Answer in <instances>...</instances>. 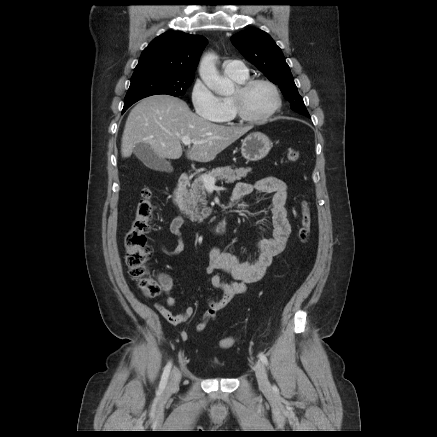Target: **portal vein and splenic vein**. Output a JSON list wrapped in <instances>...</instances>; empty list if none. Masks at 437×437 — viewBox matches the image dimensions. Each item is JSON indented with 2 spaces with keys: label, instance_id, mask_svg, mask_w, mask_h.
<instances>
[{
  "label": "portal vein and splenic vein",
  "instance_id": "obj_1",
  "mask_svg": "<svg viewBox=\"0 0 437 437\" xmlns=\"http://www.w3.org/2000/svg\"><path fill=\"white\" fill-rule=\"evenodd\" d=\"M182 142L185 146H190V144H192V143L196 144V142H194L193 140H191L188 137H183ZM215 181L216 180L211 176H203V178H202L203 185L205 186V188L207 190H214L215 189Z\"/></svg>",
  "mask_w": 437,
  "mask_h": 437
}]
</instances>
